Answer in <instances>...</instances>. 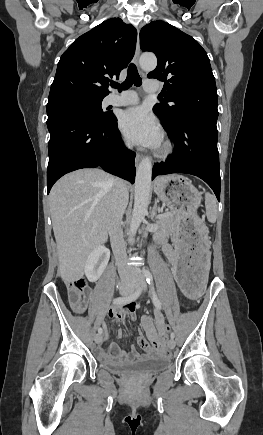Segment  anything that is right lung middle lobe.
<instances>
[{
  "label": "right lung middle lobe",
  "mask_w": 263,
  "mask_h": 435,
  "mask_svg": "<svg viewBox=\"0 0 263 435\" xmlns=\"http://www.w3.org/2000/svg\"><path fill=\"white\" fill-rule=\"evenodd\" d=\"M102 99L79 100L59 103L47 106L48 120L67 114H85L99 119L109 117L108 112H103L101 108Z\"/></svg>",
  "instance_id": "dd1d6c3e"
}]
</instances>
